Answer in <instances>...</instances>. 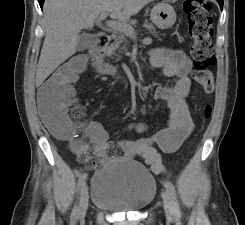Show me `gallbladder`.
<instances>
[{"instance_id": "obj_1", "label": "gallbladder", "mask_w": 245, "mask_h": 225, "mask_svg": "<svg viewBox=\"0 0 245 225\" xmlns=\"http://www.w3.org/2000/svg\"><path fill=\"white\" fill-rule=\"evenodd\" d=\"M95 42L94 36L91 34L83 33L78 38L77 50L84 51L88 49Z\"/></svg>"}]
</instances>
